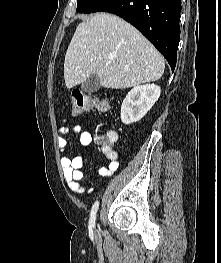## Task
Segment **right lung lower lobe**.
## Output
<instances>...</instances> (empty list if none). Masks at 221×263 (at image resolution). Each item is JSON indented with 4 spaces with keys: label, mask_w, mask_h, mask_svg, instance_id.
Instances as JSON below:
<instances>
[{
    "label": "right lung lower lobe",
    "mask_w": 221,
    "mask_h": 263,
    "mask_svg": "<svg viewBox=\"0 0 221 263\" xmlns=\"http://www.w3.org/2000/svg\"><path fill=\"white\" fill-rule=\"evenodd\" d=\"M108 12L135 26L174 71L180 40V0H104L93 12Z\"/></svg>",
    "instance_id": "1"
}]
</instances>
